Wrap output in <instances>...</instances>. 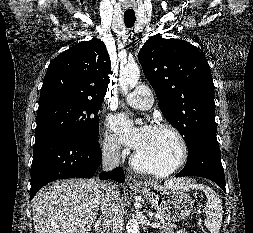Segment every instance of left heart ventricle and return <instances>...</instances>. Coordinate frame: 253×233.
I'll return each instance as SVG.
<instances>
[{"instance_id":"b2bd125f","label":"left heart ventricle","mask_w":253,"mask_h":233,"mask_svg":"<svg viewBox=\"0 0 253 233\" xmlns=\"http://www.w3.org/2000/svg\"><path fill=\"white\" fill-rule=\"evenodd\" d=\"M136 155L143 164L165 170L178 161L180 146L170 132L151 129L147 140L136 151Z\"/></svg>"}]
</instances>
